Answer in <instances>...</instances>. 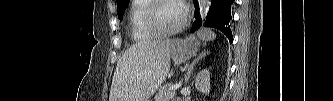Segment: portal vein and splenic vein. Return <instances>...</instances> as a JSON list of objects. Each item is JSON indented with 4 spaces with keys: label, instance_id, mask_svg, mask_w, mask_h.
<instances>
[{
    "label": "portal vein and splenic vein",
    "instance_id": "1",
    "mask_svg": "<svg viewBox=\"0 0 333 101\" xmlns=\"http://www.w3.org/2000/svg\"><path fill=\"white\" fill-rule=\"evenodd\" d=\"M182 85V82L180 81L178 84H175V85H172V86H169V89L170 90H177L178 88H180Z\"/></svg>",
    "mask_w": 333,
    "mask_h": 101
}]
</instances>
